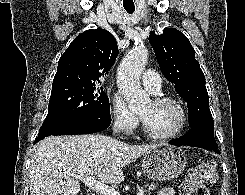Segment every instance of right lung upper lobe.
<instances>
[{
    "label": "right lung upper lobe",
    "instance_id": "obj_1",
    "mask_svg": "<svg viewBox=\"0 0 245 195\" xmlns=\"http://www.w3.org/2000/svg\"><path fill=\"white\" fill-rule=\"evenodd\" d=\"M118 56L114 36L104 30H87L78 35L59 59L52 92L98 86Z\"/></svg>",
    "mask_w": 245,
    "mask_h": 195
}]
</instances>
